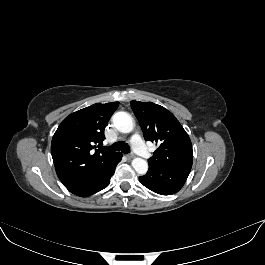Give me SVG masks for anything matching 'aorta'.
<instances>
[{
	"mask_svg": "<svg viewBox=\"0 0 265 265\" xmlns=\"http://www.w3.org/2000/svg\"><path fill=\"white\" fill-rule=\"evenodd\" d=\"M114 127L122 133H130L134 128L133 118L127 112H117L112 117ZM132 167L138 174H145L148 171V163L142 158H135Z\"/></svg>",
	"mask_w": 265,
	"mask_h": 265,
	"instance_id": "obj_1",
	"label": "aorta"
}]
</instances>
